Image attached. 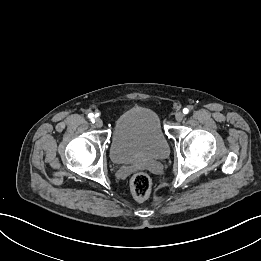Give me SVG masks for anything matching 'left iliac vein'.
<instances>
[{"label":"left iliac vein","mask_w":261,"mask_h":261,"mask_svg":"<svg viewBox=\"0 0 261 261\" xmlns=\"http://www.w3.org/2000/svg\"><path fill=\"white\" fill-rule=\"evenodd\" d=\"M175 118L178 122H181L184 118V114L182 112H177Z\"/></svg>","instance_id":"4c4485c4"}]
</instances>
